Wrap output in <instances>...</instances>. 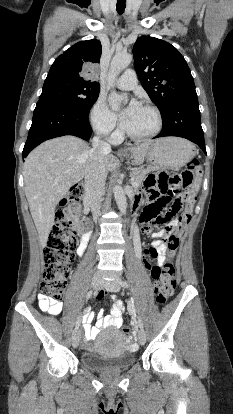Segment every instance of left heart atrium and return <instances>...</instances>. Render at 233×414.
Instances as JSON below:
<instances>
[{
    "label": "left heart atrium",
    "mask_w": 233,
    "mask_h": 414,
    "mask_svg": "<svg viewBox=\"0 0 233 414\" xmlns=\"http://www.w3.org/2000/svg\"><path fill=\"white\" fill-rule=\"evenodd\" d=\"M120 98L121 97L119 95H117V94L111 95V97H110L111 104H116L120 100ZM138 107H139V104L135 100H132L128 104V106L122 111V113H121L122 120L125 119L126 117H128Z\"/></svg>",
    "instance_id": "obj_1"
}]
</instances>
